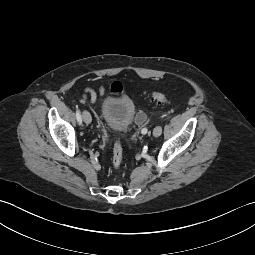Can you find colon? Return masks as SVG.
I'll return each mask as SVG.
<instances>
[{
	"label": "colon",
	"mask_w": 255,
	"mask_h": 255,
	"mask_svg": "<svg viewBox=\"0 0 255 255\" xmlns=\"http://www.w3.org/2000/svg\"><path fill=\"white\" fill-rule=\"evenodd\" d=\"M123 90V85L119 81H115L111 85V91L113 93H119ZM151 97L154 101L158 103H167V97L160 92L154 91L151 94ZM145 120L144 117H139V121L143 122ZM123 162V148L119 138H116L113 145V156H112V167L114 170H118Z\"/></svg>",
	"instance_id": "obj_1"
}]
</instances>
